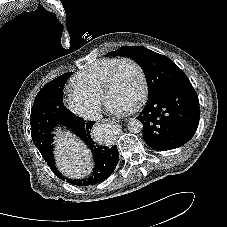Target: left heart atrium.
<instances>
[{"mask_svg":"<svg viewBox=\"0 0 227 227\" xmlns=\"http://www.w3.org/2000/svg\"><path fill=\"white\" fill-rule=\"evenodd\" d=\"M131 109V105L121 104V103H114L108 102L107 104V111L113 115H122L125 112Z\"/></svg>","mask_w":227,"mask_h":227,"instance_id":"1","label":"left heart atrium"}]
</instances>
